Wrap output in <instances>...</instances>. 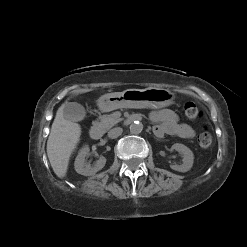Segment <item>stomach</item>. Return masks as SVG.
Returning a JSON list of instances; mask_svg holds the SVG:
<instances>
[{
	"label": "stomach",
	"instance_id": "stomach-1",
	"mask_svg": "<svg viewBox=\"0 0 247 247\" xmlns=\"http://www.w3.org/2000/svg\"><path fill=\"white\" fill-rule=\"evenodd\" d=\"M174 99L175 94L168 89H128L101 96L98 106L104 112L118 108H162L171 105Z\"/></svg>",
	"mask_w": 247,
	"mask_h": 247
}]
</instances>
